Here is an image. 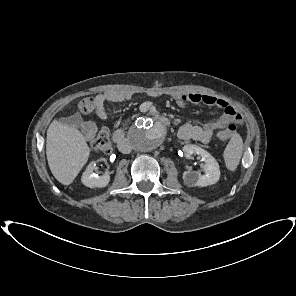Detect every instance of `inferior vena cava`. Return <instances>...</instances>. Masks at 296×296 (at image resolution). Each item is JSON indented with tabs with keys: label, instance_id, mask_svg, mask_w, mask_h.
Listing matches in <instances>:
<instances>
[{
	"label": "inferior vena cava",
	"instance_id": "1",
	"mask_svg": "<svg viewBox=\"0 0 296 296\" xmlns=\"http://www.w3.org/2000/svg\"><path fill=\"white\" fill-rule=\"evenodd\" d=\"M119 149H120L121 152H123V153H127V152L130 151L131 146H130L129 143H126L125 145H124V144H120V145H119Z\"/></svg>",
	"mask_w": 296,
	"mask_h": 296
}]
</instances>
